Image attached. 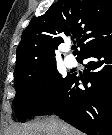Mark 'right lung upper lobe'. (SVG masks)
<instances>
[{"instance_id": "obj_1", "label": "right lung upper lobe", "mask_w": 112, "mask_h": 135, "mask_svg": "<svg viewBox=\"0 0 112 135\" xmlns=\"http://www.w3.org/2000/svg\"><path fill=\"white\" fill-rule=\"evenodd\" d=\"M71 36L79 56L112 42L111 0H58L31 20L17 48L14 76L39 71L55 62V51Z\"/></svg>"}]
</instances>
